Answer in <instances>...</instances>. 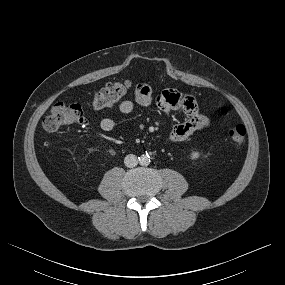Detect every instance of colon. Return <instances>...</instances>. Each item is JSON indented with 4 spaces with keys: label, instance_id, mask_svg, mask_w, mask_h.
Listing matches in <instances>:
<instances>
[{
    "label": "colon",
    "instance_id": "1",
    "mask_svg": "<svg viewBox=\"0 0 285 285\" xmlns=\"http://www.w3.org/2000/svg\"><path fill=\"white\" fill-rule=\"evenodd\" d=\"M129 87L127 81L109 83L94 95L89 106L96 110L112 107L126 95ZM81 122H83V110L80 105L57 103L43 119L42 125L46 131L55 132L64 126ZM245 136L246 128L242 124L234 126L228 133L230 141L234 144L243 143Z\"/></svg>",
    "mask_w": 285,
    "mask_h": 285
}]
</instances>
